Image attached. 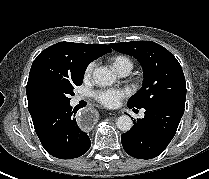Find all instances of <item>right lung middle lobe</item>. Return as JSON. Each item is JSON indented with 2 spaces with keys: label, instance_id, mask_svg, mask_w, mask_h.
<instances>
[{
  "label": "right lung middle lobe",
  "instance_id": "right-lung-middle-lobe-1",
  "mask_svg": "<svg viewBox=\"0 0 209 179\" xmlns=\"http://www.w3.org/2000/svg\"><path fill=\"white\" fill-rule=\"evenodd\" d=\"M84 72L72 77H61L45 73L37 76L27 90L28 108L33 121L46 116L53 110L70 103L73 89L83 82Z\"/></svg>",
  "mask_w": 209,
  "mask_h": 179
}]
</instances>
